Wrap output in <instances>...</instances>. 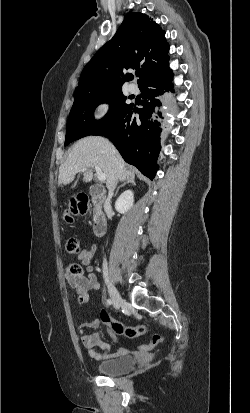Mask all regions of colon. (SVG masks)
I'll use <instances>...</instances> for the list:
<instances>
[{
    "mask_svg": "<svg viewBox=\"0 0 250 413\" xmlns=\"http://www.w3.org/2000/svg\"><path fill=\"white\" fill-rule=\"evenodd\" d=\"M89 212V204L84 196H77L70 199L65 207L63 218L66 223H72L75 216L86 215ZM65 251L69 255H76L80 253V244L75 237L69 238L65 243ZM75 274H82L83 270L79 266H74L72 269ZM101 320L107 324L110 329L118 335H122L128 338H136L139 336H145L147 334L146 322H136L134 327L125 326L119 321H116L107 314L106 311H101ZM162 342V337L159 335L153 336L150 342H139L136 346V351H142L144 353L150 350H154L157 344Z\"/></svg>",
    "mask_w": 250,
    "mask_h": 413,
    "instance_id": "1",
    "label": "colon"
}]
</instances>
